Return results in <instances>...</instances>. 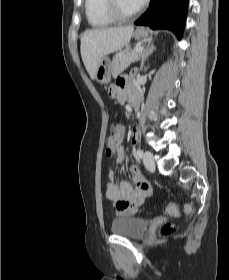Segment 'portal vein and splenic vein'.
Masks as SVG:
<instances>
[{
	"label": "portal vein and splenic vein",
	"mask_w": 229,
	"mask_h": 280,
	"mask_svg": "<svg viewBox=\"0 0 229 280\" xmlns=\"http://www.w3.org/2000/svg\"><path fill=\"white\" fill-rule=\"evenodd\" d=\"M144 51L143 47H136L133 52L135 53H142Z\"/></svg>",
	"instance_id": "obj_1"
}]
</instances>
